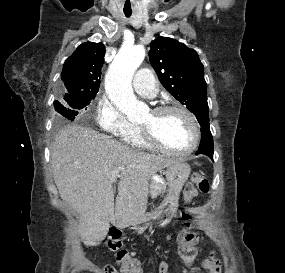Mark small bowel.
Here are the masks:
<instances>
[{
	"mask_svg": "<svg viewBox=\"0 0 285 273\" xmlns=\"http://www.w3.org/2000/svg\"><path fill=\"white\" fill-rule=\"evenodd\" d=\"M203 265L206 268L205 273H221L220 261L216 259L213 254L204 260ZM141 273H143L142 270ZM144 273H169L168 264L165 261H160L154 268L149 269Z\"/></svg>",
	"mask_w": 285,
	"mask_h": 273,
	"instance_id": "c3829d8e",
	"label": "small bowel"
}]
</instances>
